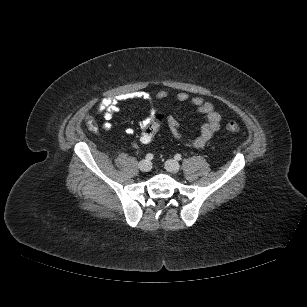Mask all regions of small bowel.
Returning a JSON list of instances; mask_svg holds the SVG:
<instances>
[{
    "instance_id": "1",
    "label": "small bowel",
    "mask_w": 307,
    "mask_h": 307,
    "mask_svg": "<svg viewBox=\"0 0 307 307\" xmlns=\"http://www.w3.org/2000/svg\"><path fill=\"white\" fill-rule=\"evenodd\" d=\"M168 96L169 93L163 90L158 92L155 95V97L151 96L149 93L146 92H139L136 94L122 95L118 98H106L99 103L96 112L98 115H101L104 118L103 129L105 131H109L111 129L110 120L112 119L113 115L119 111L118 107L119 101L131 98L142 99L146 101L148 104L147 113L139 123L140 127L144 129L149 124H151V122L155 119V116L157 114V110L154 106V100L155 99L162 100L167 98ZM175 99L179 102L190 101V103L197 109V111L205 116L206 121L202 125L198 136L192 139H186L180 131V125L178 121L174 117H169L167 120V124L170 132L175 138L185 142L189 146L195 148L203 147L211 139V137L219 130L221 123V115L215 110L214 106L210 102L205 101L201 97L196 96L190 98L186 92H179L175 95ZM89 127L93 131L97 130L96 125L94 126L89 125ZM126 133L128 135H132L134 133L133 128L128 127L126 129Z\"/></svg>"
}]
</instances>
